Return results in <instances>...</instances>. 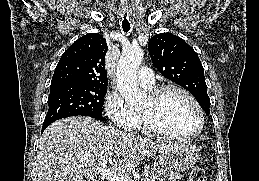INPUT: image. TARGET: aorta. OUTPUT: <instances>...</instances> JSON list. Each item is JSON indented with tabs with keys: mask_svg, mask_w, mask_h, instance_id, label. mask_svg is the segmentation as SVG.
Masks as SVG:
<instances>
[{
	"mask_svg": "<svg viewBox=\"0 0 259 181\" xmlns=\"http://www.w3.org/2000/svg\"><path fill=\"white\" fill-rule=\"evenodd\" d=\"M143 56L140 47H129L123 50L117 64V88L130 109L139 108L147 98L145 91L137 84V71Z\"/></svg>",
	"mask_w": 259,
	"mask_h": 181,
	"instance_id": "obj_1",
	"label": "aorta"
}]
</instances>
